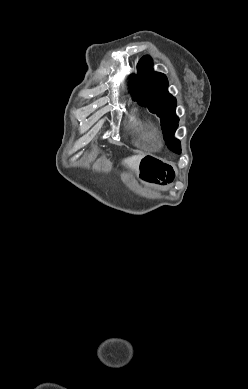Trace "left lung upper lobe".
Segmentation results:
<instances>
[{"instance_id":"5c2ea615","label":"left lung upper lobe","mask_w":248,"mask_h":389,"mask_svg":"<svg viewBox=\"0 0 248 389\" xmlns=\"http://www.w3.org/2000/svg\"><path fill=\"white\" fill-rule=\"evenodd\" d=\"M130 85L133 100L160 118L168 148L180 153V142L174 138L179 121L175 114L176 99L167 91V77L163 73L153 71L150 56L140 59L137 75H132Z\"/></svg>"}]
</instances>
